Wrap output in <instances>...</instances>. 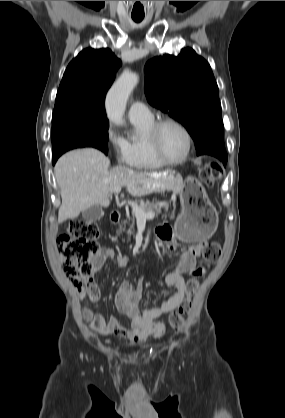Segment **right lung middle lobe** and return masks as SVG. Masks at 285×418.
I'll return each mask as SVG.
<instances>
[{"instance_id": "right-lung-middle-lobe-1", "label": "right lung middle lobe", "mask_w": 285, "mask_h": 418, "mask_svg": "<svg viewBox=\"0 0 285 418\" xmlns=\"http://www.w3.org/2000/svg\"><path fill=\"white\" fill-rule=\"evenodd\" d=\"M108 128L104 110L77 105L54 107L52 159L79 147H94L107 154Z\"/></svg>"}]
</instances>
